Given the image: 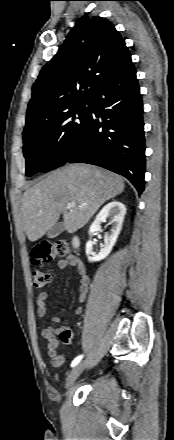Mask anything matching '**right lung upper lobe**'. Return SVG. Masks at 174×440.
<instances>
[{
  "instance_id": "right-lung-upper-lobe-1",
  "label": "right lung upper lobe",
  "mask_w": 174,
  "mask_h": 440,
  "mask_svg": "<svg viewBox=\"0 0 174 440\" xmlns=\"http://www.w3.org/2000/svg\"><path fill=\"white\" fill-rule=\"evenodd\" d=\"M129 61L131 54L110 21L82 16L34 83L24 131L90 99L107 77Z\"/></svg>"
}]
</instances>
